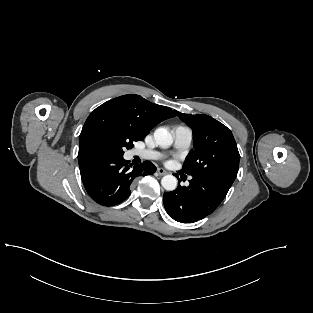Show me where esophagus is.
Returning <instances> with one entry per match:
<instances>
[{
	"label": "esophagus",
	"mask_w": 313,
	"mask_h": 313,
	"mask_svg": "<svg viewBox=\"0 0 313 313\" xmlns=\"http://www.w3.org/2000/svg\"><path fill=\"white\" fill-rule=\"evenodd\" d=\"M157 173L162 176V175H166L168 172L166 170H164L163 168H157Z\"/></svg>",
	"instance_id": "34e87169"
}]
</instances>
